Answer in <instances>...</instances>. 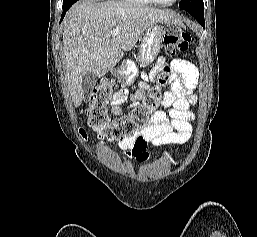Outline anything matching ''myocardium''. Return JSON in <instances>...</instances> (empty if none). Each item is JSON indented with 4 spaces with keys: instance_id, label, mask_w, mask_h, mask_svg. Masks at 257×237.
Listing matches in <instances>:
<instances>
[{
    "instance_id": "1",
    "label": "myocardium",
    "mask_w": 257,
    "mask_h": 237,
    "mask_svg": "<svg viewBox=\"0 0 257 237\" xmlns=\"http://www.w3.org/2000/svg\"><path fill=\"white\" fill-rule=\"evenodd\" d=\"M150 1L155 3V4L162 5V6H170V5H174L179 0H172V1H169V2H165V1H161V0H150Z\"/></svg>"
}]
</instances>
